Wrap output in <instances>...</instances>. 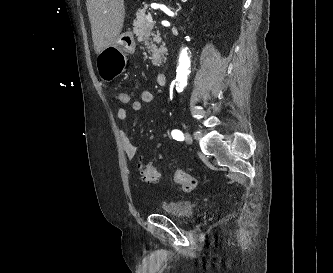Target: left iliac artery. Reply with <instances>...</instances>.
Wrapping results in <instances>:
<instances>
[{
    "label": "left iliac artery",
    "mask_w": 333,
    "mask_h": 273,
    "mask_svg": "<svg viewBox=\"0 0 333 273\" xmlns=\"http://www.w3.org/2000/svg\"><path fill=\"white\" fill-rule=\"evenodd\" d=\"M171 135H172L173 139H175L177 141L184 140V135H183V133L180 130H176V129L172 130Z\"/></svg>",
    "instance_id": "1"
}]
</instances>
